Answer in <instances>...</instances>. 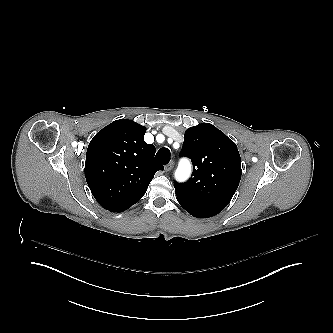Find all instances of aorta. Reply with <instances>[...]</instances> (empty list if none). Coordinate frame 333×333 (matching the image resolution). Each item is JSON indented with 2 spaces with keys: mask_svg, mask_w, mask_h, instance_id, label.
Returning a JSON list of instances; mask_svg holds the SVG:
<instances>
[{
  "mask_svg": "<svg viewBox=\"0 0 333 333\" xmlns=\"http://www.w3.org/2000/svg\"><path fill=\"white\" fill-rule=\"evenodd\" d=\"M187 172H188V170L180 169V170H178V176L180 178H185L187 176Z\"/></svg>",
  "mask_w": 333,
  "mask_h": 333,
  "instance_id": "762f6f07",
  "label": "aorta"
}]
</instances>
